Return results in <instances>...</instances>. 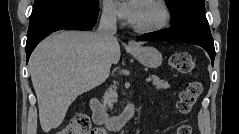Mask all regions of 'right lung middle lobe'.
I'll list each match as a JSON object with an SVG mask.
<instances>
[{"label": "right lung middle lobe", "mask_w": 239, "mask_h": 134, "mask_svg": "<svg viewBox=\"0 0 239 134\" xmlns=\"http://www.w3.org/2000/svg\"><path fill=\"white\" fill-rule=\"evenodd\" d=\"M63 2H73V3H79L87 7H95L98 6V0H34V7L32 14L38 13L42 9L58 4Z\"/></svg>", "instance_id": "1"}]
</instances>
